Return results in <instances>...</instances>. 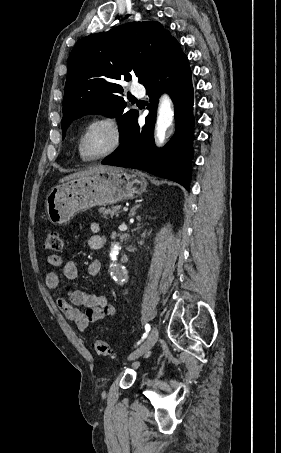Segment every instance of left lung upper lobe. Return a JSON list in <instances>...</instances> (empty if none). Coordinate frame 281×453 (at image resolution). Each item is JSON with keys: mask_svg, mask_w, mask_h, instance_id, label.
Here are the masks:
<instances>
[{"mask_svg": "<svg viewBox=\"0 0 281 453\" xmlns=\"http://www.w3.org/2000/svg\"><path fill=\"white\" fill-rule=\"evenodd\" d=\"M169 31L153 21L132 22L78 41L68 59L63 99L62 138L70 123L86 114L116 117L123 140L138 116L124 113L126 102L117 80L137 76L143 84L161 61Z\"/></svg>", "mask_w": 281, "mask_h": 453, "instance_id": "5c2ea615", "label": "left lung upper lobe"}]
</instances>
